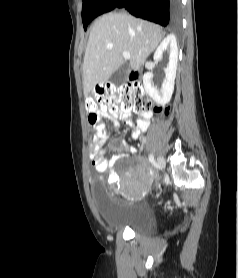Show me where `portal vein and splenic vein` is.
I'll return each instance as SVG.
<instances>
[{"instance_id": "1", "label": "portal vein and splenic vein", "mask_w": 238, "mask_h": 278, "mask_svg": "<svg viewBox=\"0 0 238 278\" xmlns=\"http://www.w3.org/2000/svg\"><path fill=\"white\" fill-rule=\"evenodd\" d=\"M130 57H131V55H130L129 52H127V51H124V52H123V58H124V59H127V60H128V59H130Z\"/></svg>"}]
</instances>
